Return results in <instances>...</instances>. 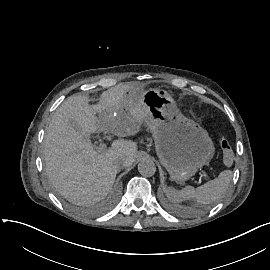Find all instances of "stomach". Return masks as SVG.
<instances>
[{"mask_svg": "<svg viewBox=\"0 0 270 270\" xmlns=\"http://www.w3.org/2000/svg\"><path fill=\"white\" fill-rule=\"evenodd\" d=\"M141 103L147 108L144 121L154 138L161 164L172 181L183 184L214 155V144L208 132L172 107L174 101L163 89L145 90ZM121 112L127 109L122 107Z\"/></svg>", "mask_w": 270, "mask_h": 270, "instance_id": "0dacf381", "label": "stomach"}]
</instances>
